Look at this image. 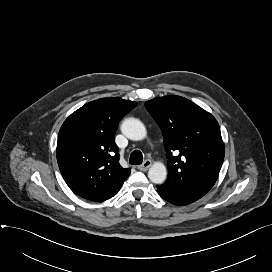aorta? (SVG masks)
I'll return each mask as SVG.
<instances>
[{
	"mask_svg": "<svg viewBox=\"0 0 272 272\" xmlns=\"http://www.w3.org/2000/svg\"><path fill=\"white\" fill-rule=\"evenodd\" d=\"M122 133L131 140H142L146 137V128L144 124L136 118H128L122 122ZM167 177V169L163 163H154L149 171L148 178L155 184H161Z\"/></svg>",
	"mask_w": 272,
	"mask_h": 272,
	"instance_id": "762f6f07",
	"label": "aorta"
}]
</instances>
